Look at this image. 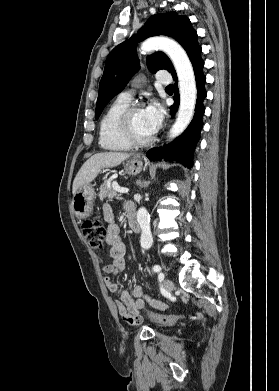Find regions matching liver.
Instances as JSON below:
<instances>
[{
  "instance_id": "1",
  "label": "liver",
  "mask_w": 279,
  "mask_h": 391,
  "mask_svg": "<svg viewBox=\"0 0 279 391\" xmlns=\"http://www.w3.org/2000/svg\"><path fill=\"white\" fill-rule=\"evenodd\" d=\"M129 157L130 154L119 152H102L91 156L82 165L73 181V195L78 189L92 182L102 168L116 167Z\"/></svg>"
}]
</instances>
